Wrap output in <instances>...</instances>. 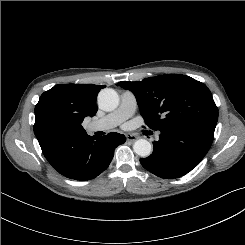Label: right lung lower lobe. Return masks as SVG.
<instances>
[{"label":"right lung lower lobe","mask_w":245,"mask_h":245,"mask_svg":"<svg viewBox=\"0 0 245 245\" xmlns=\"http://www.w3.org/2000/svg\"><path fill=\"white\" fill-rule=\"evenodd\" d=\"M125 141L124 135L115 132L71 140L62 145L58 160L51 165L67 178L90 180L107 169L115 148Z\"/></svg>","instance_id":"98d812e1"}]
</instances>
